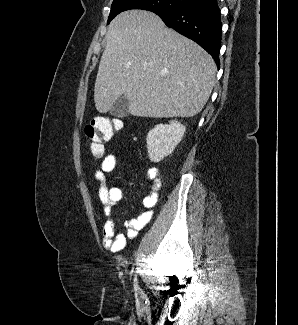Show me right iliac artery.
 Here are the masks:
<instances>
[{
	"label": "right iliac artery",
	"instance_id": "1",
	"mask_svg": "<svg viewBox=\"0 0 298 325\" xmlns=\"http://www.w3.org/2000/svg\"><path fill=\"white\" fill-rule=\"evenodd\" d=\"M134 289H135V291H138L139 290V286H138V282H137V278L136 277L134 278Z\"/></svg>",
	"mask_w": 298,
	"mask_h": 325
}]
</instances>
